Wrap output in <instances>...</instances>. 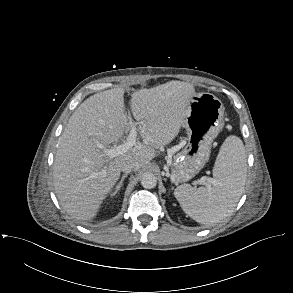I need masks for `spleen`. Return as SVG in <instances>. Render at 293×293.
I'll use <instances>...</instances> for the list:
<instances>
[{
	"label": "spleen",
	"mask_w": 293,
	"mask_h": 293,
	"mask_svg": "<svg viewBox=\"0 0 293 293\" xmlns=\"http://www.w3.org/2000/svg\"><path fill=\"white\" fill-rule=\"evenodd\" d=\"M247 176L243 142L229 136L222 144L213 168V178L198 189L182 184L174 196L183 211L196 222L214 224L232 214L241 197Z\"/></svg>",
	"instance_id": "spleen-1"
}]
</instances>
